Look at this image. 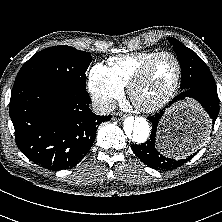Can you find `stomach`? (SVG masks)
Masks as SVG:
<instances>
[{
    "instance_id": "stomach-1",
    "label": "stomach",
    "mask_w": 222,
    "mask_h": 222,
    "mask_svg": "<svg viewBox=\"0 0 222 222\" xmlns=\"http://www.w3.org/2000/svg\"><path fill=\"white\" fill-rule=\"evenodd\" d=\"M207 117L193 102H183L171 109L161 124L159 146L162 151L172 157L186 156L193 151L182 147L180 137L194 129L203 127Z\"/></svg>"
}]
</instances>
